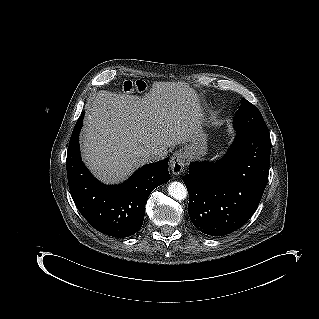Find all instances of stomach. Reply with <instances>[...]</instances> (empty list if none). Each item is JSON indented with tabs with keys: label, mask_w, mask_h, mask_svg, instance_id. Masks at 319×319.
Here are the masks:
<instances>
[{
	"label": "stomach",
	"mask_w": 319,
	"mask_h": 319,
	"mask_svg": "<svg viewBox=\"0 0 319 319\" xmlns=\"http://www.w3.org/2000/svg\"><path fill=\"white\" fill-rule=\"evenodd\" d=\"M184 154L189 160L201 158L207 154V135L202 129L192 134Z\"/></svg>",
	"instance_id": "stomach-1"
}]
</instances>
